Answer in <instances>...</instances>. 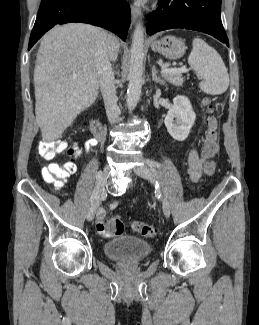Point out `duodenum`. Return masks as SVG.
Returning a JSON list of instances; mask_svg holds the SVG:
<instances>
[{
	"label": "duodenum",
	"mask_w": 259,
	"mask_h": 325,
	"mask_svg": "<svg viewBox=\"0 0 259 325\" xmlns=\"http://www.w3.org/2000/svg\"><path fill=\"white\" fill-rule=\"evenodd\" d=\"M91 131L95 137L101 138L104 134V128L102 123L98 119H92L90 122Z\"/></svg>",
	"instance_id": "1"
}]
</instances>
